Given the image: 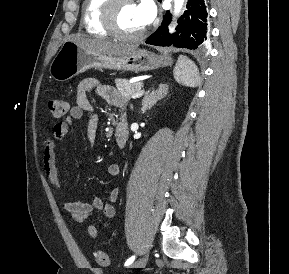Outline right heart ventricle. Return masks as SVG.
Returning <instances> with one entry per match:
<instances>
[{"label": "right heart ventricle", "mask_w": 289, "mask_h": 274, "mask_svg": "<svg viewBox=\"0 0 289 274\" xmlns=\"http://www.w3.org/2000/svg\"><path fill=\"white\" fill-rule=\"evenodd\" d=\"M107 0H85L82 10V20L85 30L93 35L106 37L109 32L104 28L101 14Z\"/></svg>", "instance_id": "right-heart-ventricle-1"}]
</instances>
